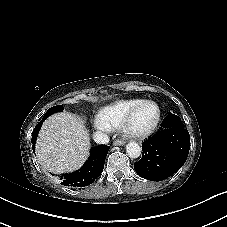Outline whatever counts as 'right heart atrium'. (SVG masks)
Masks as SVG:
<instances>
[{
    "instance_id": "right-heart-atrium-1",
    "label": "right heart atrium",
    "mask_w": 227,
    "mask_h": 227,
    "mask_svg": "<svg viewBox=\"0 0 227 227\" xmlns=\"http://www.w3.org/2000/svg\"><path fill=\"white\" fill-rule=\"evenodd\" d=\"M108 130H109L108 126H104V125L99 126V125H97V131L100 132V133H104V132H106Z\"/></svg>"
}]
</instances>
